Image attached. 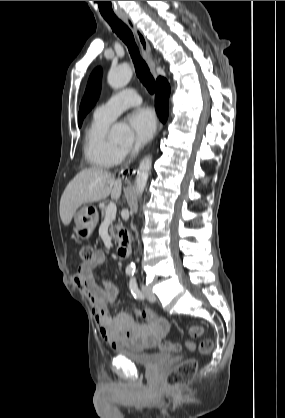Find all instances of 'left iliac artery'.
Segmentation results:
<instances>
[{
    "mask_svg": "<svg viewBox=\"0 0 285 418\" xmlns=\"http://www.w3.org/2000/svg\"><path fill=\"white\" fill-rule=\"evenodd\" d=\"M129 287H130V290H131L132 295L135 298L144 299L143 294L141 293V291L138 288V285H137V282H136V278L135 277H132L130 279Z\"/></svg>",
    "mask_w": 285,
    "mask_h": 418,
    "instance_id": "1",
    "label": "left iliac artery"
}]
</instances>
